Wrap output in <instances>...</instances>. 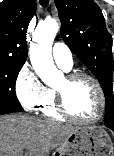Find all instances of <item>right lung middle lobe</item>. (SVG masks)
I'll use <instances>...</instances> for the list:
<instances>
[{"instance_id":"dd1d6c3e","label":"right lung middle lobe","mask_w":114,"mask_h":156,"mask_svg":"<svg viewBox=\"0 0 114 156\" xmlns=\"http://www.w3.org/2000/svg\"><path fill=\"white\" fill-rule=\"evenodd\" d=\"M24 63L0 60V110L23 111L15 93V83Z\"/></svg>"}]
</instances>
